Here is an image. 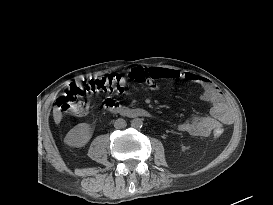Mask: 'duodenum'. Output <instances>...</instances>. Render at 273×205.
I'll return each mask as SVG.
<instances>
[{
  "instance_id": "duodenum-1",
  "label": "duodenum",
  "mask_w": 273,
  "mask_h": 205,
  "mask_svg": "<svg viewBox=\"0 0 273 205\" xmlns=\"http://www.w3.org/2000/svg\"><path fill=\"white\" fill-rule=\"evenodd\" d=\"M106 107L111 110V111H116L119 112L122 115L125 116H145L146 113L142 110H137V109H131L129 107L123 106L119 103H117L114 100H107L105 102Z\"/></svg>"
}]
</instances>
